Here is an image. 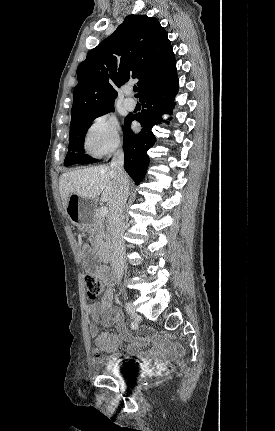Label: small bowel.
I'll return each instance as SVG.
<instances>
[{
  "label": "small bowel",
  "instance_id": "obj_1",
  "mask_svg": "<svg viewBox=\"0 0 275 431\" xmlns=\"http://www.w3.org/2000/svg\"><path fill=\"white\" fill-rule=\"evenodd\" d=\"M82 258L86 267L106 286L101 300L87 307L88 313L92 316V320L89 322V334L96 341V346L92 351L93 363L119 361L121 354L118 352V348L122 341L127 343V354L136 356L145 367L153 363L159 371H164L173 363L178 362L182 355L181 347L178 344L156 334L151 329H145V333L141 336H133L128 332L120 309L113 305V274L106 266L97 263L93 251L87 245L83 247ZM99 324L105 327L115 326L117 333L101 331ZM149 345L152 346L151 350L140 351L141 347Z\"/></svg>",
  "mask_w": 275,
  "mask_h": 431
}]
</instances>
